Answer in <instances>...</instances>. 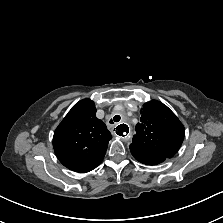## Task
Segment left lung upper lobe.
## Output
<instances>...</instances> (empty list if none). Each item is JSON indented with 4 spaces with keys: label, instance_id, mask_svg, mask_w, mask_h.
<instances>
[{
    "label": "left lung upper lobe",
    "instance_id": "left-lung-upper-lobe-1",
    "mask_svg": "<svg viewBox=\"0 0 223 223\" xmlns=\"http://www.w3.org/2000/svg\"><path fill=\"white\" fill-rule=\"evenodd\" d=\"M141 122L130 148L145 153L172 158L179 150L185 135L184 126L162 102L152 100L143 105Z\"/></svg>",
    "mask_w": 223,
    "mask_h": 223
}]
</instances>
